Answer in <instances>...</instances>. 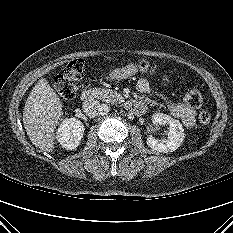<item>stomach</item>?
Returning <instances> with one entry per match:
<instances>
[{"label": "stomach", "mask_w": 233, "mask_h": 233, "mask_svg": "<svg viewBox=\"0 0 233 233\" xmlns=\"http://www.w3.org/2000/svg\"><path fill=\"white\" fill-rule=\"evenodd\" d=\"M149 68H150V63L145 59H141L138 65L130 63L125 67L111 70L109 73V79L112 80L126 79L128 77H131L132 75H135L139 70L142 72H146Z\"/></svg>", "instance_id": "stomach-1"}]
</instances>
